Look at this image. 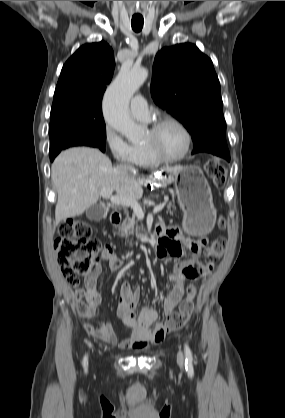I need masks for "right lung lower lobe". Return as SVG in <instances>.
<instances>
[{
    "mask_svg": "<svg viewBox=\"0 0 285 418\" xmlns=\"http://www.w3.org/2000/svg\"><path fill=\"white\" fill-rule=\"evenodd\" d=\"M91 147H92V146H91ZM55 157H56V156H54V157H50V160H51V161H53Z\"/></svg>",
    "mask_w": 285,
    "mask_h": 418,
    "instance_id": "1",
    "label": "right lung lower lobe"
}]
</instances>
